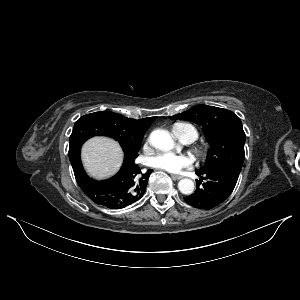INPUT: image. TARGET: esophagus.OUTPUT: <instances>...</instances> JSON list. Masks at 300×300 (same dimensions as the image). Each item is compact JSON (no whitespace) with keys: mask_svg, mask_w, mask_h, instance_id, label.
Segmentation results:
<instances>
[{"mask_svg":"<svg viewBox=\"0 0 300 300\" xmlns=\"http://www.w3.org/2000/svg\"><path fill=\"white\" fill-rule=\"evenodd\" d=\"M172 178L175 179V180H180L183 178V176L181 175H172Z\"/></svg>","mask_w":300,"mask_h":300,"instance_id":"obj_1","label":"esophagus"}]
</instances>
